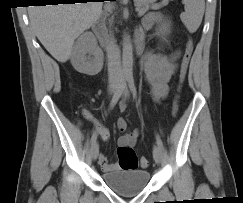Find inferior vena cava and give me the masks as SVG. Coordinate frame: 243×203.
I'll return each instance as SVG.
<instances>
[{
  "instance_id": "obj_1",
  "label": "inferior vena cava",
  "mask_w": 243,
  "mask_h": 203,
  "mask_svg": "<svg viewBox=\"0 0 243 203\" xmlns=\"http://www.w3.org/2000/svg\"><path fill=\"white\" fill-rule=\"evenodd\" d=\"M121 71L120 50L114 36L110 34L108 45V73L110 77L119 78Z\"/></svg>"
}]
</instances>
